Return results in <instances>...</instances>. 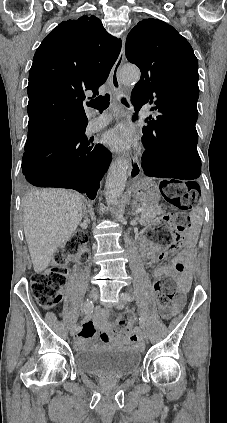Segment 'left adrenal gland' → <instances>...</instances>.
Here are the masks:
<instances>
[{
  "label": "left adrenal gland",
  "instance_id": "obj_1",
  "mask_svg": "<svg viewBox=\"0 0 227 423\" xmlns=\"http://www.w3.org/2000/svg\"><path fill=\"white\" fill-rule=\"evenodd\" d=\"M137 204H131V211L133 215H137Z\"/></svg>",
  "mask_w": 227,
  "mask_h": 423
}]
</instances>
